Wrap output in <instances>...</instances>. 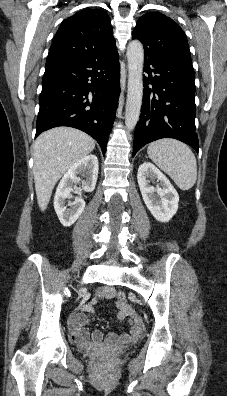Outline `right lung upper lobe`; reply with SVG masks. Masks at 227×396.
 <instances>
[{"mask_svg": "<svg viewBox=\"0 0 227 396\" xmlns=\"http://www.w3.org/2000/svg\"><path fill=\"white\" fill-rule=\"evenodd\" d=\"M115 47L108 14L100 9L81 10L61 23L53 38L46 67L88 58Z\"/></svg>", "mask_w": 227, "mask_h": 396, "instance_id": "1", "label": "right lung upper lobe"}]
</instances>
